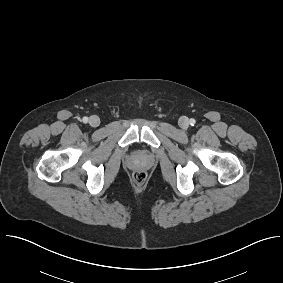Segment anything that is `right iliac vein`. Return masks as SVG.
<instances>
[{"label":"right iliac vein","mask_w":283,"mask_h":283,"mask_svg":"<svg viewBox=\"0 0 283 283\" xmlns=\"http://www.w3.org/2000/svg\"><path fill=\"white\" fill-rule=\"evenodd\" d=\"M89 124H90L91 127H98L99 124H100V119H99V117H98V116H95V115L91 116V117L89 118Z\"/></svg>","instance_id":"1"}]
</instances>
